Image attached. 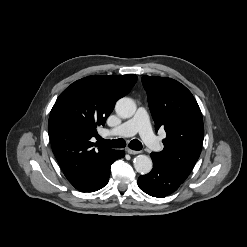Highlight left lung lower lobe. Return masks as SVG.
I'll list each match as a JSON object with an SVG mask.
<instances>
[{
	"instance_id": "0a47b994",
	"label": "left lung lower lobe",
	"mask_w": 247,
	"mask_h": 247,
	"mask_svg": "<svg viewBox=\"0 0 247 247\" xmlns=\"http://www.w3.org/2000/svg\"><path fill=\"white\" fill-rule=\"evenodd\" d=\"M151 158L153 169L138 178V186L150 196L163 198L177 190L188 176L152 156Z\"/></svg>"
}]
</instances>
